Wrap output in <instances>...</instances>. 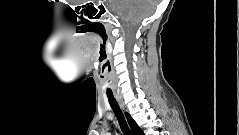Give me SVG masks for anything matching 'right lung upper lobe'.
Instances as JSON below:
<instances>
[{"instance_id": "1", "label": "right lung upper lobe", "mask_w": 239, "mask_h": 135, "mask_svg": "<svg viewBox=\"0 0 239 135\" xmlns=\"http://www.w3.org/2000/svg\"><path fill=\"white\" fill-rule=\"evenodd\" d=\"M129 126L132 130L133 135H143V131L138 127L133 118L126 112L125 113Z\"/></svg>"}]
</instances>
